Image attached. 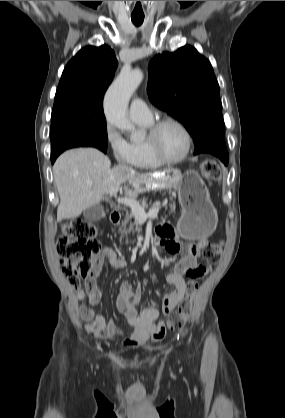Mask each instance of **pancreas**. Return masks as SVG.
I'll return each instance as SVG.
<instances>
[{
    "label": "pancreas",
    "instance_id": "obj_1",
    "mask_svg": "<svg viewBox=\"0 0 285 418\" xmlns=\"http://www.w3.org/2000/svg\"><path fill=\"white\" fill-rule=\"evenodd\" d=\"M159 207V204H155V205H151L150 209L153 208H157ZM143 209H147L148 205L147 204H143L142 205ZM171 208V212L175 211V205H170ZM132 219H134V221L132 222ZM128 225V227H127ZM137 232L140 233L141 232V228L138 226L137 221L135 220V216L133 215V213L131 212L130 214H126L125 219L122 221L118 232L121 234V236L125 235L126 237L131 233V232Z\"/></svg>",
    "mask_w": 285,
    "mask_h": 418
}]
</instances>
